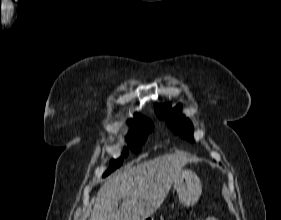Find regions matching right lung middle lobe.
I'll list each match as a JSON object with an SVG mask.
<instances>
[{"label": "right lung middle lobe", "mask_w": 281, "mask_h": 220, "mask_svg": "<svg viewBox=\"0 0 281 220\" xmlns=\"http://www.w3.org/2000/svg\"><path fill=\"white\" fill-rule=\"evenodd\" d=\"M130 125L132 129L130 130L127 136V142L130 149H132L133 152L138 153L141 151L142 145L146 141L148 134L153 130L154 125L150 120L146 118L131 123ZM127 155L128 150L125 148L123 150L121 158L112 162L111 167L105 172L104 176L108 175L111 171L120 167L123 163V158Z\"/></svg>", "instance_id": "obj_1"}]
</instances>
